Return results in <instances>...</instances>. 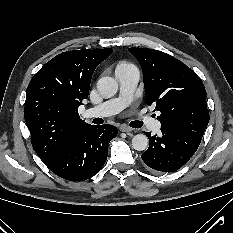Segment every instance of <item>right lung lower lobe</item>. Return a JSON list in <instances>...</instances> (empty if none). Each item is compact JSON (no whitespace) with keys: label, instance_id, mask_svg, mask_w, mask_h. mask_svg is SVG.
<instances>
[{"label":"right lung lower lobe","instance_id":"obj_1","mask_svg":"<svg viewBox=\"0 0 233 233\" xmlns=\"http://www.w3.org/2000/svg\"><path fill=\"white\" fill-rule=\"evenodd\" d=\"M117 133V128L109 124L90 125L67 139L55 153L42 160L63 179L87 180L104 166L109 142Z\"/></svg>","mask_w":233,"mask_h":233}]
</instances>
